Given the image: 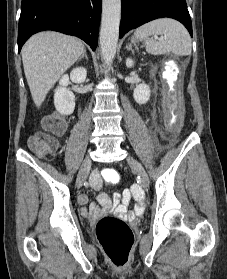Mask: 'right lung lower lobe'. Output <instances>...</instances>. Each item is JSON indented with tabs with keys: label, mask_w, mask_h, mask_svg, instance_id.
<instances>
[{
	"label": "right lung lower lobe",
	"mask_w": 227,
	"mask_h": 279,
	"mask_svg": "<svg viewBox=\"0 0 227 279\" xmlns=\"http://www.w3.org/2000/svg\"><path fill=\"white\" fill-rule=\"evenodd\" d=\"M101 0H22L18 24V51L33 34L53 30L97 47Z\"/></svg>",
	"instance_id": "1"
}]
</instances>
